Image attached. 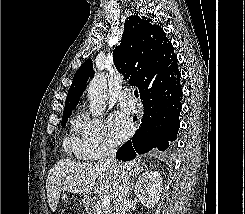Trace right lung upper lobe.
<instances>
[{"mask_svg": "<svg viewBox=\"0 0 245 214\" xmlns=\"http://www.w3.org/2000/svg\"><path fill=\"white\" fill-rule=\"evenodd\" d=\"M146 17L130 16L124 24L121 43L113 52L116 69L125 79L142 91L146 77L153 69L177 60L173 46L164 31L150 23ZM94 73L88 59L77 70L68 91L63 114L72 113L86 88L88 78Z\"/></svg>", "mask_w": 245, "mask_h": 214, "instance_id": "right-lung-upper-lobe-1", "label": "right lung upper lobe"}]
</instances>
